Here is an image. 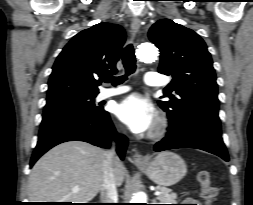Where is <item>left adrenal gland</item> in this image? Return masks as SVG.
Wrapping results in <instances>:
<instances>
[{
  "label": "left adrenal gland",
  "instance_id": "obj_1",
  "mask_svg": "<svg viewBox=\"0 0 253 205\" xmlns=\"http://www.w3.org/2000/svg\"><path fill=\"white\" fill-rule=\"evenodd\" d=\"M153 204H157L156 198L153 199Z\"/></svg>",
  "mask_w": 253,
  "mask_h": 205
}]
</instances>
